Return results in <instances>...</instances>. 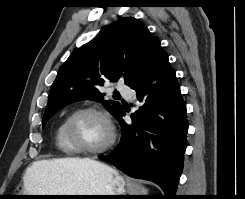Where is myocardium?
Here are the masks:
<instances>
[{
    "label": "myocardium",
    "instance_id": "myocardium-1",
    "mask_svg": "<svg viewBox=\"0 0 245 199\" xmlns=\"http://www.w3.org/2000/svg\"><path fill=\"white\" fill-rule=\"evenodd\" d=\"M84 114L97 115L106 122L108 129H109V138L104 145L98 148H88V147L82 146L73 138L72 124L77 117L84 115ZM64 133H65V137L68 140L69 144L77 153H81V154H85L89 156L101 155L107 152L113 147V145L116 142V138H117L116 128H115L114 122L110 114L101 108L92 107V106L79 108L73 111L65 120Z\"/></svg>",
    "mask_w": 245,
    "mask_h": 199
}]
</instances>
